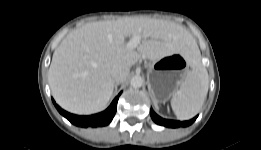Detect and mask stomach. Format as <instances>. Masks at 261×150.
Returning a JSON list of instances; mask_svg holds the SVG:
<instances>
[{
  "instance_id": "obj_1",
  "label": "stomach",
  "mask_w": 261,
  "mask_h": 150,
  "mask_svg": "<svg viewBox=\"0 0 261 150\" xmlns=\"http://www.w3.org/2000/svg\"><path fill=\"white\" fill-rule=\"evenodd\" d=\"M189 59L173 53L153 61L147 71L148 90L155 102H164L175 94L188 74Z\"/></svg>"
}]
</instances>
